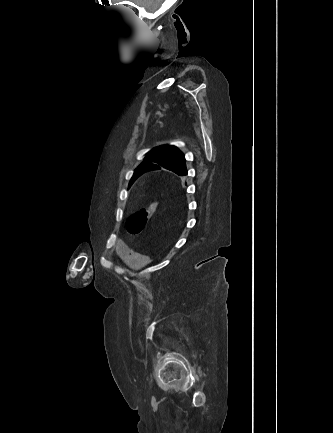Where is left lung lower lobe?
Returning a JSON list of instances; mask_svg holds the SVG:
<instances>
[{"mask_svg": "<svg viewBox=\"0 0 333 433\" xmlns=\"http://www.w3.org/2000/svg\"><path fill=\"white\" fill-rule=\"evenodd\" d=\"M146 168H147V169H146L147 171L156 170L154 166H148V167H146ZM147 171H145V172H147ZM145 172H144V173H145ZM141 175H142V174H141ZM137 178H138V177H137ZM137 178H136V179H137Z\"/></svg>", "mask_w": 333, "mask_h": 433, "instance_id": "obj_1", "label": "left lung lower lobe"}]
</instances>
